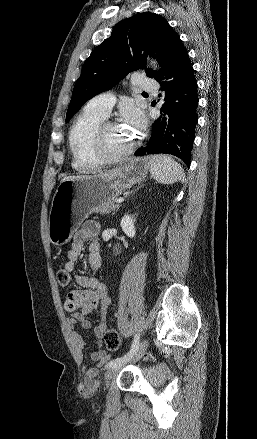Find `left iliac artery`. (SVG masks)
<instances>
[{
    "label": "left iliac artery",
    "mask_w": 257,
    "mask_h": 439,
    "mask_svg": "<svg viewBox=\"0 0 257 439\" xmlns=\"http://www.w3.org/2000/svg\"><path fill=\"white\" fill-rule=\"evenodd\" d=\"M138 347H139V335L136 334L135 337H134V341L132 343L130 351L127 354H125L124 356L120 357V358H116V359L111 360L106 365V367L107 368H111V367L119 365V364H121L123 362H127L136 353V351L138 350Z\"/></svg>",
    "instance_id": "1"
}]
</instances>
